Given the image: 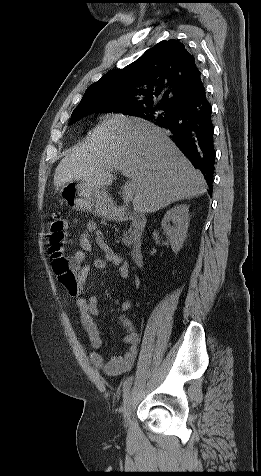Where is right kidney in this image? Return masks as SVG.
I'll return each instance as SVG.
<instances>
[{
    "instance_id": "1",
    "label": "right kidney",
    "mask_w": 261,
    "mask_h": 476,
    "mask_svg": "<svg viewBox=\"0 0 261 476\" xmlns=\"http://www.w3.org/2000/svg\"><path fill=\"white\" fill-rule=\"evenodd\" d=\"M189 206L176 205L164 215L161 227L168 236L172 251L178 253L183 247L189 226ZM171 222L173 225H171Z\"/></svg>"
}]
</instances>
